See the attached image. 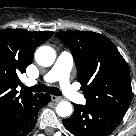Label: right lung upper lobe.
<instances>
[{"label":"right lung upper lobe","instance_id":"obj_1","mask_svg":"<svg viewBox=\"0 0 136 136\" xmlns=\"http://www.w3.org/2000/svg\"><path fill=\"white\" fill-rule=\"evenodd\" d=\"M52 32H29L25 29L0 31V123L18 115L36 95L16 90L18 75L32 63L36 47L52 36Z\"/></svg>","mask_w":136,"mask_h":136}]
</instances>
